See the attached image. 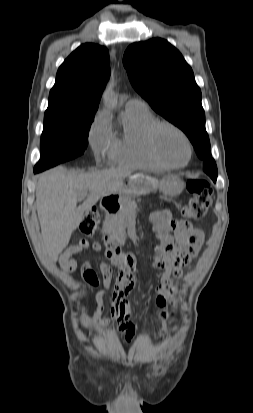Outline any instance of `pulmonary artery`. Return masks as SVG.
<instances>
[{
  "label": "pulmonary artery",
  "instance_id": "e3ab8cb5",
  "mask_svg": "<svg viewBox=\"0 0 253 413\" xmlns=\"http://www.w3.org/2000/svg\"><path fill=\"white\" fill-rule=\"evenodd\" d=\"M126 107L147 108L145 102L138 99H130L126 104Z\"/></svg>",
  "mask_w": 253,
  "mask_h": 413
}]
</instances>
